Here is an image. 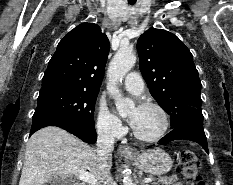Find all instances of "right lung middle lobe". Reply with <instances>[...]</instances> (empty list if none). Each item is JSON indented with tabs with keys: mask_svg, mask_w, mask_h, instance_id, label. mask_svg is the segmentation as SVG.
<instances>
[{
	"mask_svg": "<svg viewBox=\"0 0 233 185\" xmlns=\"http://www.w3.org/2000/svg\"><path fill=\"white\" fill-rule=\"evenodd\" d=\"M98 93L69 89L40 91L32 127L39 121H54L94 129V108Z\"/></svg>",
	"mask_w": 233,
	"mask_h": 185,
	"instance_id": "1",
	"label": "right lung middle lobe"
}]
</instances>
